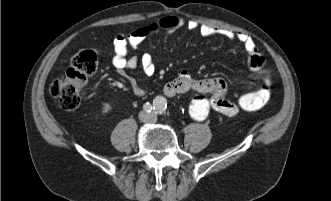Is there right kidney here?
Instances as JSON below:
<instances>
[{
  "mask_svg": "<svg viewBox=\"0 0 331 201\" xmlns=\"http://www.w3.org/2000/svg\"><path fill=\"white\" fill-rule=\"evenodd\" d=\"M111 110V106L109 104H104L103 106V113H107Z\"/></svg>",
  "mask_w": 331,
  "mask_h": 201,
  "instance_id": "1",
  "label": "right kidney"
}]
</instances>
